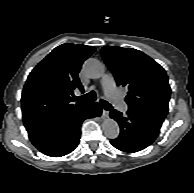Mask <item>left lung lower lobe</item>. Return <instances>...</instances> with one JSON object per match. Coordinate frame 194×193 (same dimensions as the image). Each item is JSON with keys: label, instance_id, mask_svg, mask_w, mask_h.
I'll use <instances>...</instances> for the list:
<instances>
[{"label": "left lung lower lobe", "instance_id": "left-lung-lower-lobe-1", "mask_svg": "<svg viewBox=\"0 0 194 193\" xmlns=\"http://www.w3.org/2000/svg\"><path fill=\"white\" fill-rule=\"evenodd\" d=\"M110 117L120 126V135L110 143L125 152H138L152 144L159 135L163 123L161 120L130 110L125 116L112 110Z\"/></svg>", "mask_w": 194, "mask_h": 193}]
</instances>
